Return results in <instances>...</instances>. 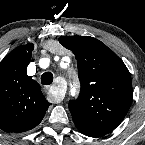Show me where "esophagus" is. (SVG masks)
<instances>
[{
    "instance_id": "esophagus-1",
    "label": "esophagus",
    "mask_w": 145,
    "mask_h": 145,
    "mask_svg": "<svg viewBox=\"0 0 145 145\" xmlns=\"http://www.w3.org/2000/svg\"><path fill=\"white\" fill-rule=\"evenodd\" d=\"M55 88L56 86H47L46 90H48V96L51 100H53L55 103H60L63 100L64 95L60 90L52 91Z\"/></svg>"
}]
</instances>
